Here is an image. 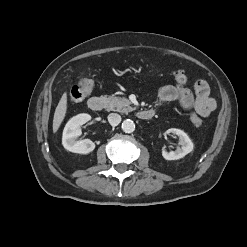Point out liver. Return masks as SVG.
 Listing matches in <instances>:
<instances>
[{
    "label": "liver",
    "instance_id": "1",
    "mask_svg": "<svg viewBox=\"0 0 247 247\" xmlns=\"http://www.w3.org/2000/svg\"><path fill=\"white\" fill-rule=\"evenodd\" d=\"M67 111V94L64 93L55 109L53 117V132L56 133L59 129L62 121L65 118Z\"/></svg>",
    "mask_w": 247,
    "mask_h": 247
}]
</instances>
